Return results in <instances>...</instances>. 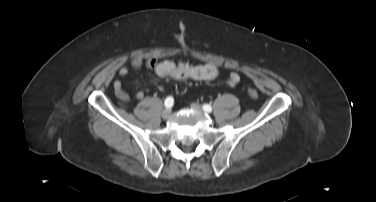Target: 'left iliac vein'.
<instances>
[{
  "instance_id": "1",
  "label": "left iliac vein",
  "mask_w": 376,
  "mask_h": 202,
  "mask_svg": "<svg viewBox=\"0 0 376 202\" xmlns=\"http://www.w3.org/2000/svg\"><path fill=\"white\" fill-rule=\"evenodd\" d=\"M190 107H191L194 111H196V112H199V113H202V112H203L202 107H201L199 104H197V103H191Z\"/></svg>"
}]
</instances>
